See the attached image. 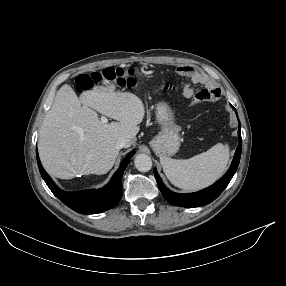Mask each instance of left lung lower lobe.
<instances>
[{"instance_id":"1","label":"left lung lower lobe","mask_w":286,"mask_h":286,"mask_svg":"<svg viewBox=\"0 0 286 286\" xmlns=\"http://www.w3.org/2000/svg\"><path fill=\"white\" fill-rule=\"evenodd\" d=\"M232 108L236 112V109L233 106ZM238 122H239V129H238L239 145L236 149L231 167L229 168L227 173L223 177H221L217 182H215L212 186L195 193L178 194L166 188L160 176L158 175L156 169H154V176L156 178L159 189L164 198L169 203L175 206H181L187 208L199 207L212 202L221 194V192L226 188V186L231 181L240 161L241 150H242V138H241V125L239 119Z\"/></svg>"}]
</instances>
